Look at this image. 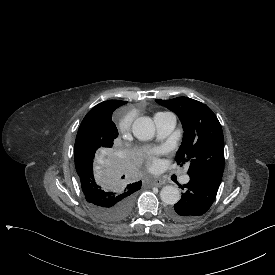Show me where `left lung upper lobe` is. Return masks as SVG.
<instances>
[{"label": "left lung upper lobe", "mask_w": 275, "mask_h": 275, "mask_svg": "<svg viewBox=\"0 0 275 275\" xmlns=\"http://www.w3.org/2000/svg\"><path fill=\"white\" fill-rule=\"evenodd\" d=\"M156 102L176 113L184 129L176 155L178 164L189 163V176L221 182L224 169V139L221 125L205 104L188 97Z\"/></svg>", "instance_id": "1"}]
</instances>
